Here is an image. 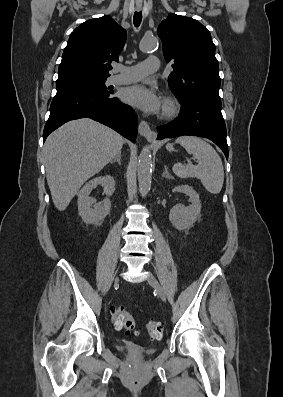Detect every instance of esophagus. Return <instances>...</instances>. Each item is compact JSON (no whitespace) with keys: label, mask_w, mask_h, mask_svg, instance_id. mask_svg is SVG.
<instances>
[{"label":"esophagus","mask_w":283,"mask_h":397,"mask_svg":"<svg viewBox=\"0 0 283 397\" xmlns=\"http://www.w3.org/2000/svg\"><path fill=\"white\" fill-rule=\"evenodd\" d=\"M142 8L141 4L136 6V10L140 11ZM138 131L140 135L144 136L149 141H154L156 139V133L150 129V126L146 121H141L138 125Z\"/></svg>","instance_id":"34e87169"}]
</instances>
